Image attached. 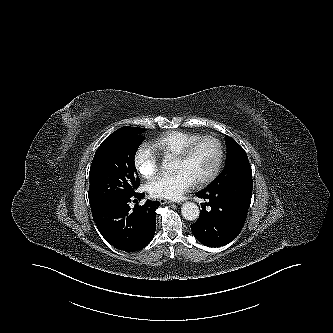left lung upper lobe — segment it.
<instances>
[{
  "instance_id": "5c2ea615",
  "label": "left lung upper lobe",
  "mask_w": 333,
  "mask_h": 333,
  "mask_svg": "<svg viewBox=\"0 0 333 333\" xmlns=\"http://www.w3.org/2000/svg\"><path fill=\"white\" fill-rule=\"evenodd\" d=\"M227 160L223 172L210 184L225 185L232 193L251 199L252 171L246 152L236 141L225 136Z\"/></svg>"
}]
</instances>
